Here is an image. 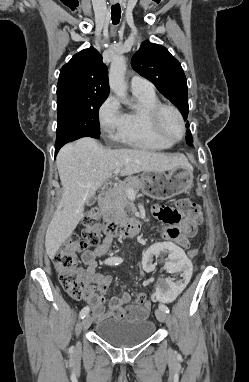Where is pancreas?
Wrapping results in <instances>:
<instances>
[{"mask_svg": "<svg viewBox=\"0 0 249 382\" xmlns=\"http://www.w3.org/2000/svg\"><path fill=\"white\" fill-rule=\"evenodd\" d=\"M142 185L143 182L137 176H129L117 186L113 187L109 193L104 214L106 216H125V208L129 205L127 189L139 190Z\"/></svg>", "mask_w": 249, "mask_h": 382, "instance_id": "obj_1", "label": "pancreas"}]
</instances>
